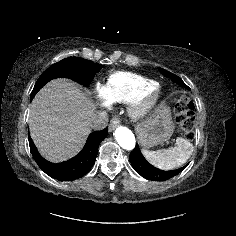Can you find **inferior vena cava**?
Returning a JSON list of instances; mask_svg holds the SVG:
<instances>
[{
	"mask_svg": "<svg viewBox=\"0 0 236 236\" xmlns=\"http://www.w3.org/2000/svg\"><path fill=\"white\" fill-rule=\"evenodd\" d=\"M108 121V114L104 111H100L93 114L90 126L94 130H102L107 126Z\"/></svg>",
	"mask_w": 236,
	"mask_h": 236,
	"instance_id": "inferior-vena-cava-1",
	"label": "inferior vena cava"
}]
</instances>
